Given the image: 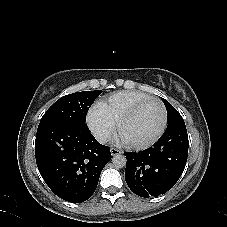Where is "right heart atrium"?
I'll list each match as a JSON object with an SVG mask.
<instances>
[{"label":"right heart atrium","mask_w":227,"mask_h":227,"mask_svg":"<svg viewBox=\"0 0 227 227\" xmlns=\"http://www.w3.org/2000/svg\"><path fill=\"white\" fill-rule=\"evenodd\" d=\"M86 124L100 143H106L112 137L116 130L115 123L112 122L96 104L87 114Z\"/></svg>","instance_id":"obj_1"}]
</instances>
